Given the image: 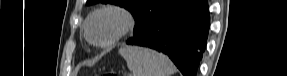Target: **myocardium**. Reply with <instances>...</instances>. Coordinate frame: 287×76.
Wrapping results in <instances>:
<instances>
[{
    "label": "myocardium",
    "instance_id": "obj_1",
    "mask_svg": "<svg viewBox=\"0 0 287 76\" xmlns=\"http://www.w3.org/2000/svg\"><path fill=\"white\" fill-rule=\"evenodd\" d=\"M103 14H114L120 19V25L118 30L107 40L97 41L92 38L90 34V27L92 22L99 16ZM135 26V17L134 15L126 8L118 5H107L101 7L94 12H92L85 23V36L86 39L93 44L94 46L100 48L110 47L124 36H126Z\"/></svg>",
    "mask_w": 287,
    "mask_h": 76
}]
</instances>
